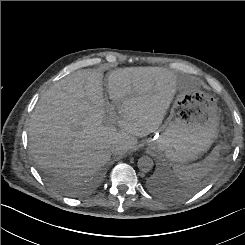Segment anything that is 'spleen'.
<instances>
[{"mask_svg":"<svg viewBox=\"0 0 245 245\" xmlns=\"http://www.w3.org/2000/svg\"><path fill=\"white\" fill-rule=\"evenodd\" d=\"M221 149L222 146L217 145L201 162L191 165H175L173 167L175 176L184 183H192L202 179L216 166Z\"/></svg>","mask_w":245,"mask_h":245,"instance_id":"spleen-1","label":"spleen"}]
</instances>
